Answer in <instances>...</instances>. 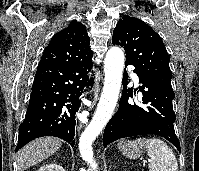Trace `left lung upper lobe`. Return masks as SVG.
<instances>
[{"label":"left lung upper lobe","instance_id":"1","mask_svg":"<svg viewBox=\"0 0 199 171\" xmlns=\"http://www.w3.org/2000/svg\"><path fill=\"white\" fill-rule=\"evenodd\" d=\"M112 43L124 48L126 63L139 74L173 90L169 55L161 37L144 21L123 16L113 31Z\"/></svg>","mask_w":199,"mask_h":171}]
</instances>
